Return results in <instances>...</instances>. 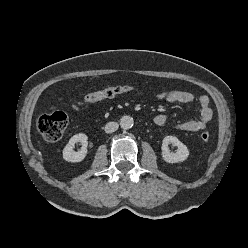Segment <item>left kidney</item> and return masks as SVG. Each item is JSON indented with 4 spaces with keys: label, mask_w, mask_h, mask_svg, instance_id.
<instances>
[{
    "label": "left kidney",
    "mask_w": 248,
    "mask_h": 248,
    "mask_svg": "<svg viewBox=\"0 0 248 248\" xmlns=\"http://www.w3.org/2000/svg\"><path fill=\"white\" fill-rule=\"evenodd\" d=\"M169 144L176 146L178 149L175 153L169 150ZM162 158L167 163L183 162L189 156V150L177 137L166 136L162 141Z\"/></svg>",
    "instance_id": "5707ae66"
}]
</instances>
